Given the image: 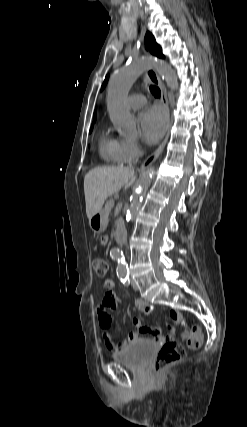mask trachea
<instances>
[{
	"label": "trachea",
	"instance_id": "3493384b",
	"mask_svg": "<svg viewBox=\"0 0 247 427\" xmlns=\"http://www.w3.org/2000/svg\"><path fill=\"white\" fill-rule=\"evenodd\" d=\"M150 91L155 97H159L161 94L160 89L156 86H150Z\"/></svg>",
	"mask_w": 247,
	"mask_h": 427
}]
</instances>
